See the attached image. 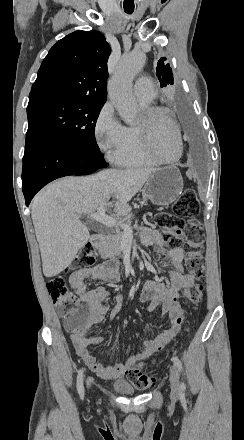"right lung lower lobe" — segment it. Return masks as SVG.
Returning <instances> with one entry per match:
<instances>
[{"label":"right lung lower lobe","instance_id":"1","mask_svg":"<svg viewBox=\"0 0 244 440\" xmlns=\"http://www.w3.org/2000/svg\"><path fill=\"white\" fill-rule=\"evenodd\" d=\"M107 164L100 150H88L55 136L26 135L22 190L28 206L47 183L69 175H88Z\"/></svg>","mask_w":244,"mask_h":440}]
</instances>
